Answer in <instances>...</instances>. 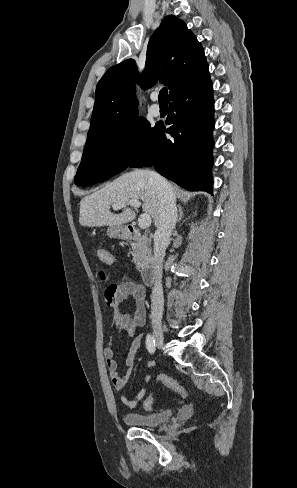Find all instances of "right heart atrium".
Here are the masks:
<instances>
[{"mask_svg":"<svg viewBox=\"0 0 297 488\" xmlns=\"http://www.w3.org/2000/svg\"><path fill=\"white\" fill-rule=\"evenodd\" d=\"M138 141V134L133 130H126L120 137L118 142V151L125 153L132 149Z\"/></svg>","mask_w":297,"mask_h":488,"instance_id":"1","label":"right heart atrium"}]
</instances>
